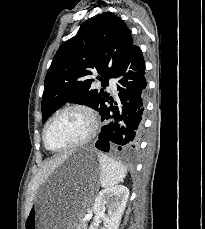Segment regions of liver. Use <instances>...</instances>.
Returning a JSON list of instances; mask_svg holds the SVG:
<instances>
[{"label":"liver","instance_id":"1","mask_svg":"<svg viewBox=\"0 0 205 229\" xmlns=\"http://www.w3.org/2000/svg\"><path fill=\"white\" fill-rule=\"evenodd\" d=\"M68 157V154H64L62 156H57L55 158H51L46 160L42 166L41 171L33 178L32 184L33 186H38L42 181H44L58 166L62 164V162ZM34 199V194L29 197L27 205H26V216L29 210L32 207V201Z\"/></svg>","mask_w":205,"mask_h":229}]
</instances>
